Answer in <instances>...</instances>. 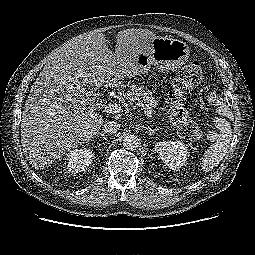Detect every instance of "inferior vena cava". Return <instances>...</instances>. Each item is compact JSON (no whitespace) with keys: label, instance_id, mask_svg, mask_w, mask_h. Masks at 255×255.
Listing matches in <instances>:
<instances>
[{"label":"inferior vena cava","instance_id":"obj_1","mask_svg":"<svg viewBox=\"0 0 255 255\" xmlns=\"http://www.w3.org/2000/svg\"><path fill=\"white\" fill-rule=\"evenodd\" d=\"M120 128L119 123L115 121H109L104 124V132L107 134H116Z\"/></svg>","mask_w":255,"mask_h":255}]
</instances>
